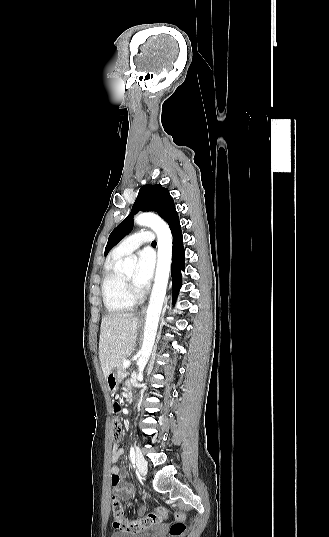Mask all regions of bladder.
Masks as SVG:
<instances>
[{
    "instance_id": "31cf9c89",
    "label": "bladder",
    "mask_w": 329,
    "mask_h": 537,
    "mask_svg": "<svg viewBox=\"0 0 329 537\" xmlns=\"http://www.w3.org/2000/svg\"><path fill=\"white\" fill-rule=\"evenodd\" d=\"M158 531V528H152L148 531L136 532V533H126V532H113L110 537H153L154 533Z\"/></svg>"
}]
</instances>
